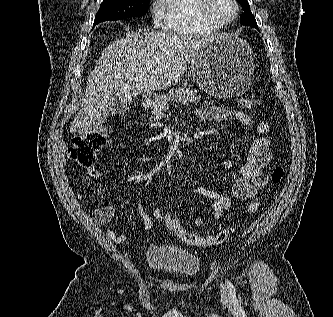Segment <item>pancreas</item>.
I'll list each match as a JSON object with an SVG mask.
<instances>
[{"label": "pancreas", "instance_id": "pancreas-1", "mask_svg": "<svg viewBox=\"0 0 333 317\" xmlns=\"http://www.w3.org/2000/svg\"><path fill=\"white\" fill-rule=\"evenodd\" d=\"M200 99L201 95L195 89L183 87L171 89L166 95L158 98L152 111L154 119L158 120L164 117V113L169 110V103L189 104L199 102Z\"/></svg>", "mask_w": 333, "mask_h": 317}]
</instances>
